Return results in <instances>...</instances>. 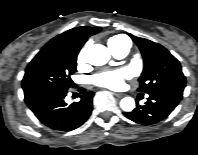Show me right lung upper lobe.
Instances as JSON below:
<instances>
[{"instance_id":"cb5924a9","label":"right lung upper lobe","mask_w":198,"mask_h":155,"mask_svg":"<svg viewBox=\"0 0 198 155\" xmlns=\"http://www.w3.org/2000/svg\"><path fill=\"white\" fill-rule=\"evenodd\" d=\"M101 30L99 27L82 26L70 29L49 41L47 46H59L66 44H76L82 47L87 38L98 33Z\"/></svg>"}]
</instances>
